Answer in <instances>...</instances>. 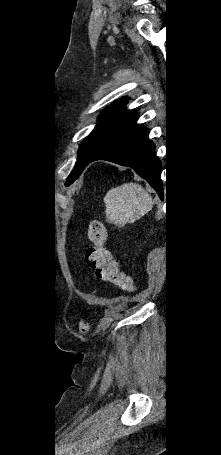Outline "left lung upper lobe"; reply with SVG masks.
<instances>
[{"label": "left lung upper lobe", "mask_w": 221, "mask_h": 455, "mask_svg": "<svg viewBox=\"0 0 221 455\" xmlns=\"http://www.w3.org/2000/svg\"><path fill=\"white\" fill-rule=\"evenodd\" d=\"M127 102L128 98L117 100L113 103V113H108L106 110L102 112L98 118V124L78 149V161L67 179V185L74 182L84 167L104 146L135 124L139 113L126 110Z\"/></svg>", "instance_id": "left-lung-upper-lobe-1"}]
</instances>
